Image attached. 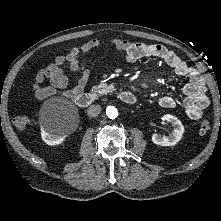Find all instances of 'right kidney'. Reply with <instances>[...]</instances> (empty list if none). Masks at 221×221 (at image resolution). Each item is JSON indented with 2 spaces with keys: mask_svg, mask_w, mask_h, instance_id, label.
Returning a JSON list of instances; mask_svg holds the SVG:
<instances>
[{
  "mask_svg": "<svg viewBox=\"0 0 221 221\" xmlns=\"http://www.w3.org/2000/svg\"><path fill=\"white\" fill-rule=\"evenodd\" d=\"M41 137L46 144L53 146L61 144L66 135L55 133L50 126H45L41 128Z\"/></svg>",
  "mask_w": 221,
  "mask_h": 221,
  "instance_id": "1",
  "label": "right kidney"
}]
</instances>
